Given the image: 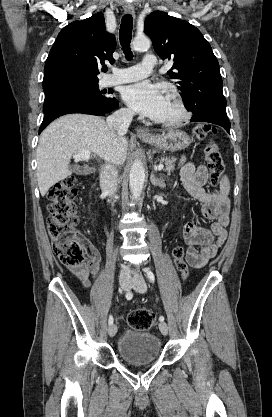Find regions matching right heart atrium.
Instances as JSON below:
<instances>
[{
    "mask_svg": "<svg viewBox=\"0 0 272 417\" xmlns=\"http://www.w3.org/2000/svg\"><path fill=\"white\" fill-rule=\"evenodd\" d=\"M120 112L125 117H129L131 115V110L129 108H126V107L122 108L120 110Z\"/></svg>",
    "mask_w": 272,
    "mask_h": 417,
    "instance_id": "1",
    "label": "right heart atrium"
}]
</instances>
